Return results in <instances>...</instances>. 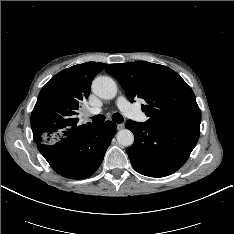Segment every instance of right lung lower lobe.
<instances>
[{
  "instance_id": "1",
  "label": "right lung lower lobe",
  "mask_w": 234,
  "mask_h": 234,
  "mask_svg": "<svg viewBox=\"0 0 234 234\" xmlns=\"http://www.w3.org/2000/svg\"><path fill=\"white\" fill-rule=\"evenodd\" d=\"M116 134V124L106 121L37 148L55 172L70 179L91 176L99 168Z\"/></svg>"
}]
</instances>
